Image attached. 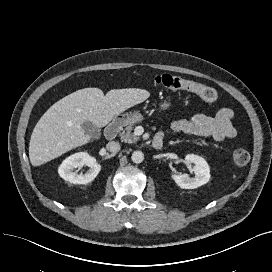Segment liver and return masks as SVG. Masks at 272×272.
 Listing matches in <instances>:
<instances>
[{"instance_id": "1", "label": "liver", "mask_w": 272, "mask_h": 272, "mask_svg": "<svg viewBox=\"0 0 272 272\" xmlns=\"http://www.w3.org/2000/svg\"><path fill=\"white\" fill-rule=\"evenodd\" d=\"M150 92L139 88L113 89L104 95L99 88L77 90L53 104L37 122L29 143L33 166L45 164L90 142L82 124L106 126L115 116L142 103Z\"/></svg>"}]
</instances>
